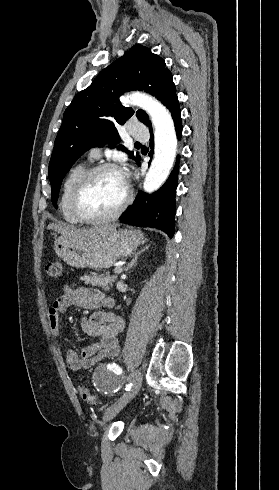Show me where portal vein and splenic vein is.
Here are the masks:
<instances>
[{"label":"portal vein and splenic vein","instance_id":"18ae733b","mask_svg":"<svg viewBox=\"0 0 279 490\" xmlns=\"http://www.w3.org/2000/svg\"><path fill=\"white\" fill-rule=\"evenodd\" d=\"M121 272H123L122 266H117V268H115V274H121Z\"/></svg>","mask_w":279,"mask_h":490}]
</instances>
